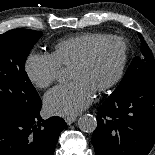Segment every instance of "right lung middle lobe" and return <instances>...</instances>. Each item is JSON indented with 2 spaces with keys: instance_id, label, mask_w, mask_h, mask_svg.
<instances>
[{
  "instance_id": "dd1d6c3e",
  "label": "right lung middle lobe",
  "mask_w": 155,
  "mask_h": 155,
  "mask_svg": "<svg viewBox=\"0 0 155 155\" xmlns=\"http://www.w3.org/2000/svg\"><path fill=\"white\" fill-rule=\"evenodd\" d=\"M42 32L13 29L0 35V117L28 116L40 97L25 72L26 58Z\"/></svg>"
}]
</instances>
